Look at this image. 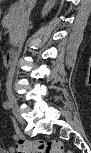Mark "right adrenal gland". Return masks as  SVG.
I'll return each mask as SVG.
<instances>
[{
	"label": "right adrenal gland",
	"mask_w": 91,
	"mask_h": 153,
	"mask_svg": "<svg viewBox=\"0 0 91 153\" xmlns=\"http://www.w3.org/2000/svg\"><path fill=\"white\" fill-rule=\"evenodd\" d=\"M38 0H36V2H37ZM36 2H35V4H34V6L32 7V9L35 7V5H36ZM32 9H31V11H32ZM31 11H30V13H31Z\"/></svg>",
	"instance_id": "1"
}]
</instances>
